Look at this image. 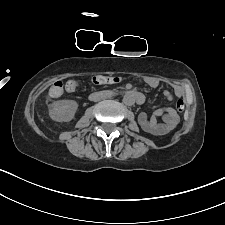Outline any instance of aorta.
I'll return each instance as SVG.
<instances>
[{
    "label": "aorta",
    "instance_id": "aorta-1",
    "mask_svg": "<svg viewBox=\"0 0 225 225\" xmlns=\"http://www.w3.org/2000/svg\"><path fill=\"white\" fill-rule=\"evenodd\" d=\"M122 101L125 105H132L134 103V98L132 95L126 94V95H124Z\"/></svg>",
    "mask_w": 225,
    "mask_h": 225
}]
</instances>
